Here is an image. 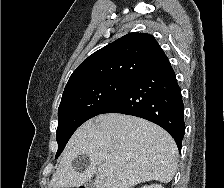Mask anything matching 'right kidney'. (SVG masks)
Masks as SVG:
<instances>
[{
    "label": "right kidney",
    "instance_id": "1",
    "mask_svg": "<svg viewBox=\"0 0 224 188\" xmlns=\"http://www.w3.org/2000/svg\"><path fill=\"white\" fill-rule=\"evenodd\" d=\"M141 188H164L162 185H159V184H152V185H145Z\"/></svg>",
    "mask_w": 224,
    "mask_h": 188
}]
</instances>
